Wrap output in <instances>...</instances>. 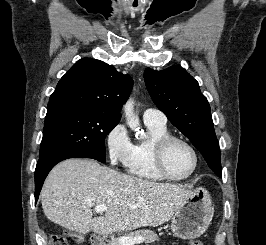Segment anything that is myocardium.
<instances>
[{
    "label": "myocardium",
    "mask_w": 266,
    "mask_h": 245,
    "mask_svg": "<svg viewBox=\"0 0 266 245\" xmlns=\"http://www.w3.org/2000/svg\"><path fill=\"white\" fill-rule=\"evenodd\" d=\"M175 141H179V142H182L185 145H187L194 154L195 162H194L193 169L187 176H185L183 178L173 177L169 173V171L167 170L166 165H165L166 151H167L169 145ZM153 158H154V163H155V166H156L159 174L163 178H165L166 180L173 181V182H183V181H187L190 178H192L195 175V173L197 172L198 167H199V163H200V156H199V153H198V150L196 149V147L188 139L181 137V136H178V135H172V134L161 137L155 142V144L153 146Z\"/></svg>",
    "instance_id": "obj_1"
}]
</instances>
